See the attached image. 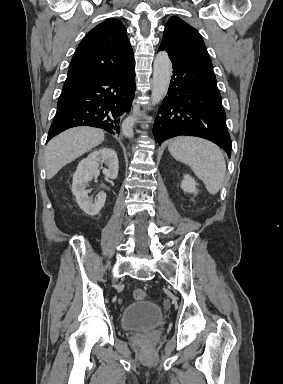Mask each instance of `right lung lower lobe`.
<instances>
[{
	"instance_id": "1",
	"label": "right lung lower lobe",
	"mask_w": 283,
	"mask_h": 384,
	"mask_svg": "<svg viewBox=\"0 0 283 384\" xmlns=\"http://www.w3.org/2000/svg\"><path fill=\"white\" fill-rule=\"evenodd\" d=\"M135 65L123 72L90 79L63 93L47 141L75 126H91L119 134L122 116L131 109Z\"/></svg>"
}]
</instances>
